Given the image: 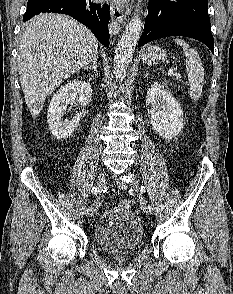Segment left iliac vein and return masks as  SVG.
Returning <instances> with one entry per match:
<instances>
[{"label":"left iliac vein","mask_w":233,"mask_h":294,"mask_svg":"<svg viewBox=\"0 0 233 294\" xmlns=\"http://www.w3.org/2000/svg\"><path fill=\"white\" fill-rule=\"evenodd\" d=\"M117 185L120 189H124V190L127 189V183L123 180H117ZM130 185L135 193H139L138 181L135 178L131 180ZM139 206H140L141 212H145L147 214L151 213L147 207L144 197L140 198Z\"/></svg>","instance_id":"1"}]
</instances>
